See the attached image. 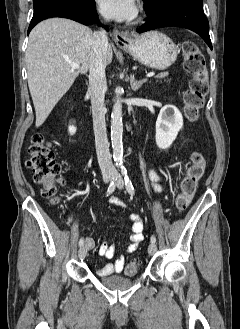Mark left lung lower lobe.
<instances>
[{
  "label": "left lung lower lobe",
  "mask_w": 240,
  "mask_h": 329,
  "mask_svg": "<svg viewBox=\"0 0 240 329\" xmlns=\"http://www.w3.org/2000/svg\"><path fill=\"white\" fill-rule=\"evenodd\" d=\"M147 21L137 32H147L156 28L177 26L190 29L199 34L212 49L209 36V23L203 12V1L170 0L154 12H148Z\"/></svg>",
  "instance_id": "0a47b994"
}]
</instances>
